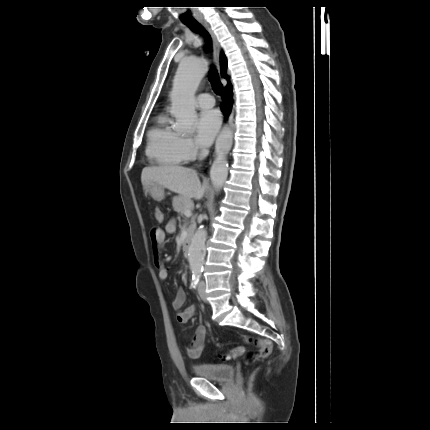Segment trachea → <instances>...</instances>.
<instances>
[{
    "label": "trachea",
    "mask_w": 430,
    "mask_h": 430,
    "mask_svg": "<svg viewBox=\"0 0 430 430\" xmlns=\"http://www.w3.org/2000/svg\"><path fill=\"white\" fill-rule=\"evenodd\" d=\"M193 32H200L203 35H205L210 40V35L204 30V28L198 24V23H190L186 24ZM209 47V44L206 46ZM209 81L212 85L213 90L215 93L220 94L222 92V84L219 78L218 73L216 72L215 68H212L209 72Z\"/></svg>",
    "instance_id": "3493384b"
}]
</instances>
